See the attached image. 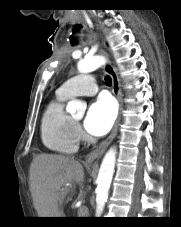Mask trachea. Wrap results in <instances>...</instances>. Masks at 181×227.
I'll return each mask as SVG.
<instances>
[{
	"label": "trachea",
	"instance_id": "trachea-1",
	"mask_svg": "<svg viewBox=\"0 0 181 227\" xmlns=\"http://www.w3.org/2000/svg\"><path fill=\"white\" fill-rule=\"evenodd\" d=\"M105 83H106L108 86H110V85L112 84V79H111L110 76H106V77H105Z\"/></svg>",
	"mask_w": 181,
	"mask_h": 227
}]
</instances>
